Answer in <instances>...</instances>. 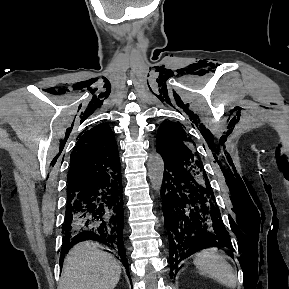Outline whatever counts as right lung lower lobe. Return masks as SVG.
I'll return each mask as SVG.
<instances>
[{"mask_svg": "<svg viewBox=\"0 0 289 289\" xmlns=\"http://www.w3.org/2000/svg\"><path fill=\"white\" fill-rule=\"evenodd\" d=\"M123 225L121 173L104 176L83 190L69 193L62 226L60 264L75 243L93 240L120 257L130 278L123 243Z\"/></svg>", "mask_w": 289, "mask_h": 289, "instance_id": "obj_1", "label": "right lung lower lobe"}]
</instances>
